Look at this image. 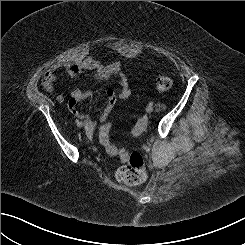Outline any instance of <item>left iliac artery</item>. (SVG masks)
<instances>
[{
	"label": "left iliac artery",
	"instance_id": "obj_1",
	"mask_svg": "<svg viewBox=\"0 0 245 245\" xmlns=\"http://www.w3.org/2000/svg\"><path fill=\"white\" fill-rule=\"evenodd\" d=\"M149 105L152 106L153 105V102H149Z\"/></svg>",
	"mask_w": 245,
	"mask_h": 245
}]
</instances>
